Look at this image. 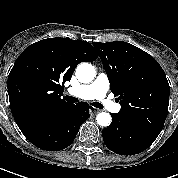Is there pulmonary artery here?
I'll list each match as a JSON object with an SVG mask.
<instances>
[{
    "label": "pulmonary artery",
    "instance_id": "obj_1",
    "mask_svg": "<svg viewBox=\"0 0 178 178\" xmlns=\"http://www.w3.org/2000/svg\"><path fill=\"white\" fill-rule=\"evenodd\" d=\"M109 87L110 83L108 76L104 72H101L93 82L76 87H70L67 92L71 96L84 100L99 99L107 110L116 113L120 111L121 107L106 96Z\"/></svg>",
    "mask_w": 178,
    "mask_h": 178
}]
</instances>
